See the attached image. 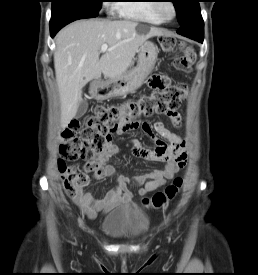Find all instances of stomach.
Returning a JSON list of instances; mask_svg holds the SVG:
<instances>
[{
    "instance_id": "1",
    "label": "stomach",
    "mask_w": 258,
    "mask_h": 275,
    "mask_svg": "<svg viewBox=\"0 0 258 275\" xmlns=\"http://www.w3.org/2000/svg\"><path fill=\"white\" fill-rule=\"evenodd\" d=\"M157 56V46L145 41L138 51L136 67L119 77L93 83L91 95L96 100L102 101L136 91L154 69Z\"/></svg>"
}]
</instances>
